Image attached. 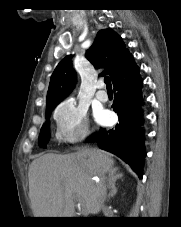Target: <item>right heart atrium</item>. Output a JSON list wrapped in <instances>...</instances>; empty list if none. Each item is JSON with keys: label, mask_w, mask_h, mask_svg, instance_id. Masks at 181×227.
<instances>
[{"label": "right heart atrium", "mask_w": 181, "mask_h": 227, "mask_svg": "<svg viewBox=\"0 0 181 227\" xmlns=\"http://www.w3.org/2000/svg\"><path fill=\"white\" fill-rule=\"evenodd\" d=\"M57 136L65 143L85 140L89 134L87 111L73 99L59 103L54 111Z\"/></svg>", "instance_id": "right-heart-atrium-1"}]
</instances>
